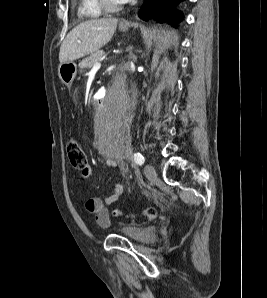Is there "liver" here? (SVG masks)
Returning a JSON list of instances; mask_svg holds the SVG:
<instances>
[{"instance_id": "obj_1", "label": "liver", "mask_w": 267, "mask_h": 298, "mask_svg": "<svg viewBox=\"0 0 267 298\" xmlns=\"http://www.w3.org/2000/svg\"><path fill=\"white\" fill-rule=\"evenodd\" d=\"M118 19H91L74 27L63 40L60 64L79 59L107 44L117 28Z\"/></svg>"}]
</instances>
